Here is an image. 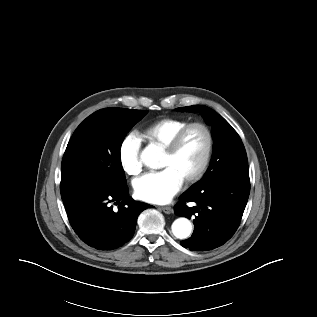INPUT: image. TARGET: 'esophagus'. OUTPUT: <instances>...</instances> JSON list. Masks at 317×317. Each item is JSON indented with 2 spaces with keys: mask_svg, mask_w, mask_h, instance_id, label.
I'll return each mask as SVG.
<instances>
[{
  "mask_svg": "<svg viewBox=\"0 0 317 317\" xmlns=\"http://www.w3.org/2000/svg\"><path fill=\"white\" fill-rule=\"evenodd\" d=\"M160 209L166 214H171L173 212V208L170 206H163Z\"/></svg>",
  "mask_w": 317,
  "mask_h": 317,
  "instance_id": "esophagus-1",
  "label": "esophagus"
}]
</instances>
